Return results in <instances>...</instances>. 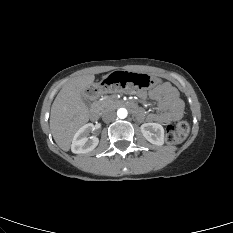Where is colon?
I'll return each instance as SVG.
<instances>
[{"label": "colon", "instance_id": "obj_1", "mask_svg": "<svg viewBox=\"0 0 233 233\" xmlns=\"http://www.w3.org/2000/svg\"><path fill=\"white\" fill-rule=\"evenodd\" d=\"M189 129V123L186 120H181L175 125L167 126L165 139L170 144H179L188 136Z\"/></svg>", "mask_w": 233, "mask_h": 233}]
</instances>
